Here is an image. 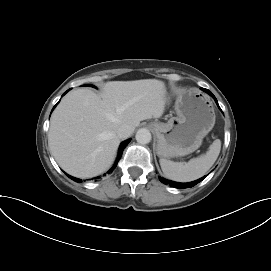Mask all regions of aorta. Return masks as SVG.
<instances>
[{
  "instance_id": "aorta-1",
  "label": "aorta",
  "mask_w": 271,
  "mask_h": 271,
  "mask_svg": "<svg viewBox=\"0 0 271 271\" xmlns=\"http://www.w3.org/2000/svg\"><path fill=\"white\" fill-rule=\"evenodd\" d=\"M135 138L139 144H148L152 137L148 129L141 128L137 131Z\"/></svg>"
}]
</instances>
